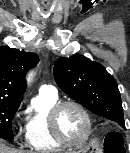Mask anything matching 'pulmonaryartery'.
Returning a JSON list of instances; mask_svg holds the SVG:
<instances>
[{"label":"pulmonary artery","mask_w":130,"mask_h":153,"mask_svg":"<svg viewBox=\"0 0 130 153\" xmlns=\"http://www.w3.org/2000/svg\"><path fill=\"white\" fill-rule=\"evenodd\" d=\"M39 93H45V94H57V90L54 86L49 84H44L40 87Z\"/></svg>","instance_id":"1"}]
</instances>
